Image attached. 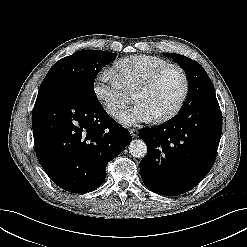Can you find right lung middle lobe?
I'll use <instances>...</instances> for the list:
<instances>
[{"instance_id": "1", "label": "right lung middle lobe", "mask_w": 247, "mask_h": 247, "mask_svg": "<svg viewBox=\"0 0 247 247\" xmlns=\"http://www.w3.org/2000/svg\"><path fill=\"white\" fill-rule=\"evenodd\" d=\"M116 56V53L106 51L83 50L62 58L49 70L40 89L54 84H74L96 100L95 78L99 71L111 63Z\"/></svg>"}]
</instances>
